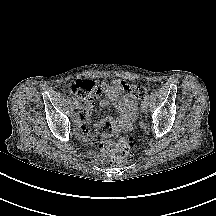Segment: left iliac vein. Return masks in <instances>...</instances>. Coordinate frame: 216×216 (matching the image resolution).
Listing matches in <instances>:
<instances>
[{"label":"left iliac vein","instance_id":"left-iliac-vein-1","mask_svg":"<svg viewBox=\"0 0 216 216\" xmlns=\"http://www.w3.org/2000/svg\"><path fill=\"white\" fill-rule=\"evenodd\" d=\"M141 108L143 110H146L148 108V100H144L142 103H141Z\"/></svg>","mask_w":216,"mask_h":216}]
</instances>
